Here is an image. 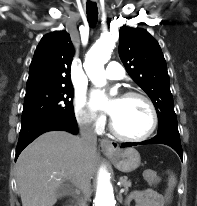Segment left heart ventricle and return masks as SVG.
Listing matches in <instances>:
<instances>
[{
    "label": "left heart ventricle",
    "mask_w": 197,
    "mask_h": 206,
    "mask_svg": "<svg viewBox=\"0 0 197 206\" xmlns=\"http://www.w3.org/2000/svg\"><path fill=\"white\" fill-rule=\"evenodd\" d=\"M112 118L119 131L130 136H140L151 125V112L139 98H117L113 101Z\"/></svg>",
    "instance_id": "left-heart-ventricle-1"
}]
</instances>
